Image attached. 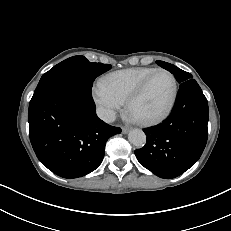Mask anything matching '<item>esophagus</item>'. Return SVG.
I'll return each mask as SVG.
<instances>
[{"label":"esophagus","mask_w":231,"mask_h":231,"mask_svg":"<svg viewBox=\"0 0 231 231\" xmlns=\"http://www.w3.org/2000/svg\"><path fill=\"white\" fill-rule=\"evenodd\" d=\"M129 130H130V129H129L128 127H123V128H122V133H123V134H127V133L129 132Z\"/></svg>","instance_id":"obj_1"}]
</instances>
